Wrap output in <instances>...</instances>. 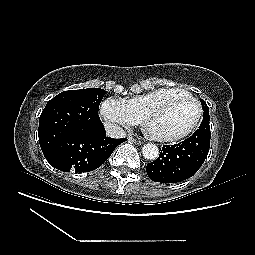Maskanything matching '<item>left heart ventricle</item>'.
I'll list each match as a JSON object with an SVG mask.
<instances>
[{
	"instance_id": "b2bd125f",
	"label": "left heart ventricle",
	"mask_w": 255,
	"mask_h": 255,
	"mask_svg": "<svg viewBox=\"0 0 255 255\" xmlns=\"http://www.w3.org/2000/svg\"><path fill=\"white\" fill-rule=\"evenodd\" d=\"M197 114L196 106L184 97H175L147 121L146 129L156 135H174L186 130Z\"/></svg>"
}]
</instances>
